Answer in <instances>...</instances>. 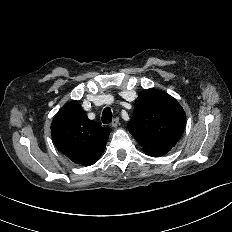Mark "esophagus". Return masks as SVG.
<instances>
[{
    "instance_id": "34e87169",
    "label": "esophagus",
    "mask_w": 232,
    "mask_h": 232,
    "mask_svg": "<svg viewBox=\"0 0 232 232\" xmlns=\"http://www.w3.org/2000/svg\"><path fill=\"white\" fill-rule=\"evenodd\" d=\"M118 125H119V118L116 117V118H114V119L112 120L111 126L115 128V127H117Z\"/></svg>"
}]
</instances>
